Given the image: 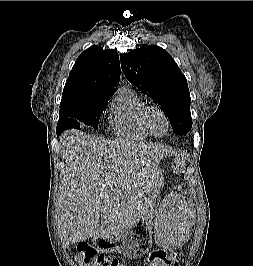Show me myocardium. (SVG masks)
Here are the masks:
<instances>
[{"label":"myocardium","instance_id":"1","mask_svg":"<svg viewBox=\"0 0 253 266\" xmlns=\"http://www.w3.org/2000/svg\"><path fill=\"white\" fill-rule=\"evenodd\" d=\"M153 112L160 113L166 121L167 130L163 135H159V134L155 133V131L152 128V125L150 122V117H151V114ZM143 123H144L146 129L148 130V132L150 133V135H152L154 137H158V138L164 137L170 129V120H169L168 115L166 114V112L161 107L155 106V105L146 106L144 113H143Z\"/></svg>","mask_w":253,"mask_h":266}]
</instances>
